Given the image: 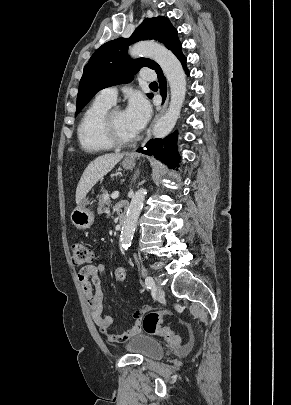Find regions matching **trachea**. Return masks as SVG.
<instances>
[{"label": "trachea", "instance_id": "obj_1", "mask_svg": "<svg viewBox=\"0 0 291 405\" xmlns=\"http://www.w3.org/2000/svg\"><path fill=\"white\" fill-rule=\"evenodd\" d=\"M150 86H157V82L150 83Z\"/></svg>", "mask_w": 291, "mask_h": 405}]
</instances>
